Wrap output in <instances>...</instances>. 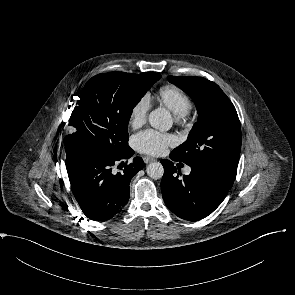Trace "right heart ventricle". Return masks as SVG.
Masks as SVG:
<instances>
[{"label": "right heart ventricle", "mask_w": 295, "mask_h": 295, "mask_svg": "<svg viewBox=\"0 0 295 295\" xmlns=\"http://www.w3.org/2000/svg\"><path fill=\"white\" fill-rule=\"evenodd\" d=\"M159 101L176 116H184L191 109V100L184 90L175 85H165L159 89Z\"/></svg>", "instance_id": "obj_1"}]
</instances>
